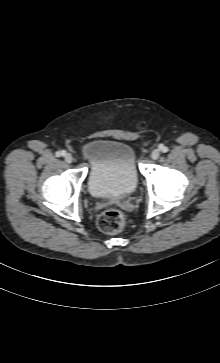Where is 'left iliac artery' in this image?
<instances>
[{
	"mask_svg": "<svg viewBox=\"0 0 220 363\" xmlns=\"http://www.w3.org/2000/svg\"><path fill=\"white\" fill-rule=\"evenodd\" d=\"M159 149L163 152V153H166L168 152V147L164 146V145H160Z\"/></svg>",
	"mask_w": 220,
	"mask_h": 363,
	"instance_id": "obj_1",
	"label": "left iliac artery"
}]
</instances>
